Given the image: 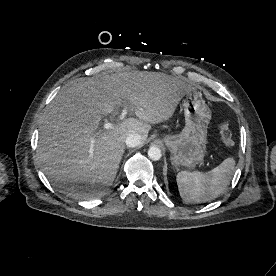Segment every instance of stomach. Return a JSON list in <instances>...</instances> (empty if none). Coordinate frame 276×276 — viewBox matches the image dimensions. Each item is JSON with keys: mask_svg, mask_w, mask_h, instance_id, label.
<instances>
[{"mask_svg": "<svg viewBox=\"0 0 276 276\" xmlns=\"http://www.w3.org/2000/svg\"><path fill=\"white\" fill-rule=\"evenodd\" d=\"M185 127L178 135H166L164 143L171 153V164L195 168L204 160L207 152V130L211 120V110L201 94L192 91L183 100Z\"/></svg>", "mask_w": 276, "mask_h": 276, "instance_id": "0dacf381", "label": "stomach"}]
</instances>
